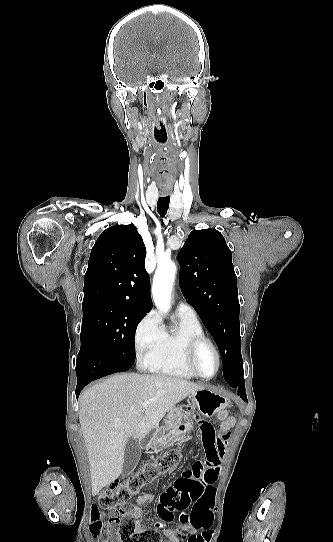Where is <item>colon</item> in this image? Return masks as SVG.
Here are the masks:
<instances>
[{"label":"colon","mask_w":333,"mask_h":542,"mask_svg":"<svg viewBox=\"0 0 333 542\" xmlns=\"http://www.w3.org/2000/svg\"><path fill=\"white\" fill-rule=\"evenodd\" d=\"M182 455L177 450L167 452L154 462L145 463L138 472L118 480L101 492L97 499L99 510L107 515H91V531L99 540H116L120 526L122 542H163L157 531H135L131 522L135 504L128 502L140 488L151 483L156 477L172 472L180 463ZM191 467L183 473L184 479L171 483L170 489H162L156 506L157 525L171 523L175 516H183V525H214L217 517L213 511L215 491L212 483H199L196 480L212 481L219 472L215 458H193ZM201 502L203 505H197ZM124 507H120L123 506ZM109 525V526H108ZM107 526V527H104Z\"/></svg>","instance_id":"colon-1"}]
</instances>
